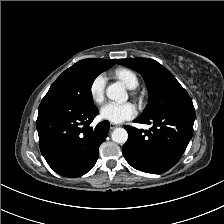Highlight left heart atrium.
Segmentation results:
<instances>
[{
	"instance_id": "1",
	"label": "left heart atrium",
	"mask_w": 224,
	"mask_h": 224,
	"mask_svg": "<svg viewBox=\"0 0 224 224\" xmlns=\"http://www.w3.org/2000/svg\"><path fill=\"white\" fill-rule=\"evenodd\" d=\"M136 114V107L130 102H109L100 110L101 117L113 123H122L126 120L132 119Z\"/></svg>"
}]
</instances>
